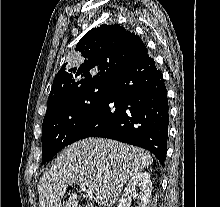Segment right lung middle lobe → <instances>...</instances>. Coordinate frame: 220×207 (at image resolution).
Listing matches in <instances>:
<instances>
[{
	"instance_id": "1",
	"label": "right lung middle lobe",
	"mask_w": 220,
	"mask_h": 207,
	"mask_svg": "<svg viewBox=\"0 0 220 207\" xmlns=\"http://www.w3.org/2000/svg\"><path fill=\"white\" fill-rule=\"evenodd\" d=\"M108 83L88 85L65 93L47 104L42 127V163L50 161L75 130L98 108Z\"/></svg>"
}]
</instances>
